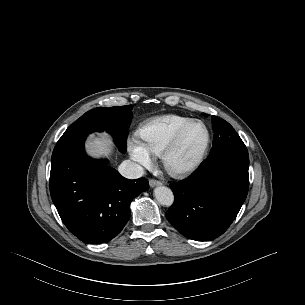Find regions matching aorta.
<instances>
[{
    "label": "aorta",
    "instance_id": "1",
    "mask_svg": "<svg viewBox=\"0 0 305 305\" xmlns=\"http://www.w3.org/2000/svg\"><path fill=\"white\" fill-rule=\"evenodd\" d=\"M154 196L159 204L170 206L174 202V195L170 188L158 186L154 189Z\"/></svg>",
    "mask_w": 305,
    "mask_h": 305
}]
</instances>
